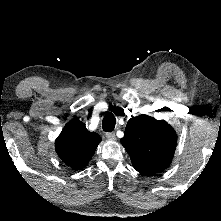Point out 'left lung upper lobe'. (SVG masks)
I'll use <instances>...</instances> for the list:
<instances>
[{"label":"left lung upper lobe","mask_w":221,"mask_h":221,"mask_svg":"<svg viewBox=\"0 0 221 221\" xmlns=\"http://www.w3.org/2000/svg\"><path fill=\"white\" fill-rule=\"evenodd\" d=\"M121 143L138 172L154 175L170 165L177 136L166 121L141 115L128 121Z\"/></svg>","instance_id":"1"}]
</instances>
